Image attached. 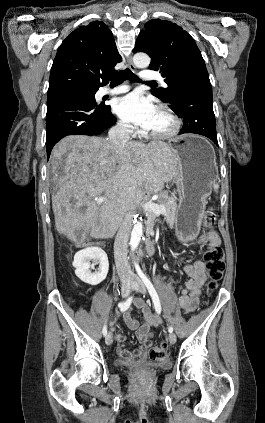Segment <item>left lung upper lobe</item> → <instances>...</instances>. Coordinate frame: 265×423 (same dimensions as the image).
<instances>
[{"mask_svg": "<svg viewBox=\"0 0 265 423\" xmlns=\"http://www.w3.org/2000/svg\"><path fill=\"white\" fill-rule=\"evenodd\" d=\"M133 52H145L151 57L149 68L159 71L168 85V88L152 89V93L172 106L176 100L174 85L192 71L206 69L201 52L190 34L166 20L148 21Z\"/></svg>", "mask_w": 265, "mask_h": 423, "instance_id": "1", "label": "left lung upper lobe"}]
</instances>
